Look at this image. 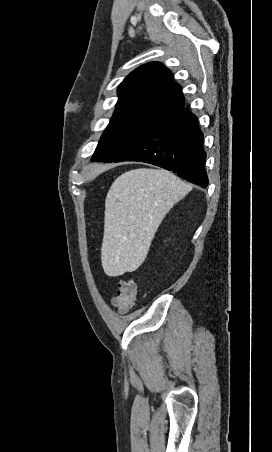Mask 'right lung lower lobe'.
<instances>
[{
	"label": "right lung lower lobe",
	"instance_id": "1",
	"mask_svg": "<svg viewBox=\"0 0 272 452\" xmlns=\"http://www.w3.org/2000/svg\"><path fill=\"white\" fill-rule=\"evenodd\" d=\"M139 161L172 170L179 177L206 188L203 133L187 108L160 115L147 131L113 162Z\"/></svg>",
	"mask_w": 272,
	"mask_h": 452
}]
</instances>
